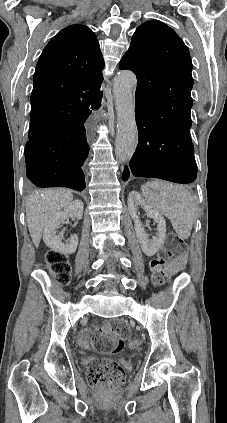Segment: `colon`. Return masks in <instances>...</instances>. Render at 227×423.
<instances>
[{
	"label": "colon",
	"mask_w": 227,
	"mask_h": 423,
	"mask_svg": "<svg viewBox=\"0 0 227 423\" xmlns=\"http://www.w3.org/2000/svg\"><path fill=\"white\" fill-rule=\"evenodd\" d=\"M183 252V241L176 234L170 233L157 258L151 262L152 277L157 286H163L167 282L169 265L179 259ZM46 263L60 284L69 282L71 269L66 255L50 250L46 254ZM128 334V327L122 321L102 326L94 335L93 347L100 353L120 352ZM88 380L103 393H110L124 382V370L114 360H95L88 368Z\"/></svg>",
	"instance_id": "obj_1"
}]
</instances>
